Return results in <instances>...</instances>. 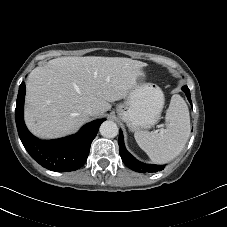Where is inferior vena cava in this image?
<instances>
[{"label": "inferior vena cava", "mask_w": 227, "mask_h": 227, "mask_svg": "<svg viewBox=\"0 0 227 227\" xmlns=\"http://www.w3.org/2000/svg\"><path fill=\"white\" fill-rule=\"evenodd\" d=\"M84 112L89 116H93L96 113L93 107H87Z\"/></svg>", "instance_id": "602c4592"}]
</instances>
